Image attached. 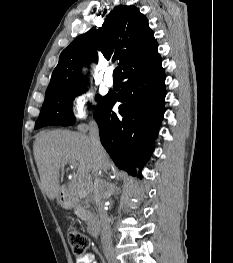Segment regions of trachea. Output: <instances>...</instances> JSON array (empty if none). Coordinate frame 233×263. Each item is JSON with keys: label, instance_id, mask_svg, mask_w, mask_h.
<instances>
[{"label": "trachea", "instance_id": "obj_1", "mask_svg": "<svg viewBox=\"0 0 233 263\" xmlns=\"http://www.w3.org/2000/svg\"><path fill=\"white\" fill-rule=\"evenodd\" d=\"M113 77H114V79H121L122 78V69H121V67L115 68Z\"/></svg>", "mask_w": 233, "mask_h": 263}]
</instances>
